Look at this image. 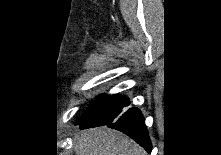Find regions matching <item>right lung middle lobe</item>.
Returning <instances> with one entry per match:
<instances>
[{
  "label": "right lung middle lobe",
  "instance_id": "right-lung-middle-lobe-1",
  "mask_svg": "<svg viewBox=\"0 0 221 155\" xmlns=\"http://www.w3.org/2000/svg\"><path fill=\"white\" fill-rule=\"evenodd\" d=\"M102 98H103V96H100L97 100H95L91 103L89 109L87 110L85 115L82 116V118L77 122V124H81L88 116H90L96 110V108L101 103Z\"/></svg>",
  "mask_w": 221,
  "mask_h": 155
}]
</instances>
